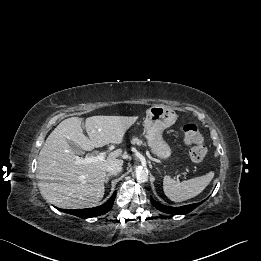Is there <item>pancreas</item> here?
Masks as SVG:
<instances>
[{"instance_id": "1", "label": "pancreas", "mask_w": 261, "mask_h": 261, "mask_svg": "<svg viewBox=\"0 0 261 261\" xmlns=\"http://www.w3.org/2000/svg\"><path fill=\"white\" fill-rule=\"evenodd\" d=\"M131 143L137 145H144L143 141L138 139L137 137L132 138Z\"/></svg>"}]
</instances>
